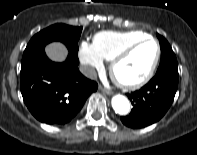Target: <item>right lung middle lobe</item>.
<instances>
[{
    "label": "right lung middle lobe",
    "mask_w": 197,
    "mask_h": 155,
    "mask_svg": "<svg viewBox=\"0 0 197 155\" xmlns=\"http://www.w3.org/2000/svg\"><path fill=\"white\" fill-rule=\"evenodd\" d=\"M81 32L82 27L68 26L65 24H55L38 32L29 41L23 53L21 65L28 63L31 59L43 52L45 46L53 41L64 43L70 53L77 54L78 40Z\"/></svg>",
    "instance_id": "1"
}]
</instances>
